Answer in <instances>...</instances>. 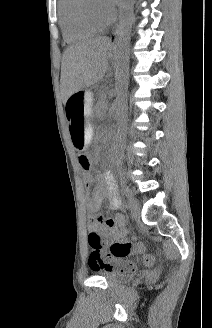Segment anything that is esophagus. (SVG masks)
<instances>
[{
	"label": "esophagus",
	"instance_id": "esophagus-1",
	"mask_svg": "<svg viewBox=\"0 0 212 328\" xmlns=\"http://www.w3.org/2000/svg\"><path fill=\"white\" fill-rule=\"evenodd\" d=\"M117 38V25L110 35V41L115 42Z\"/></svg>",
	"mask_w": 212,
	"mask_h": 328
}]
</instances>
